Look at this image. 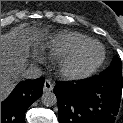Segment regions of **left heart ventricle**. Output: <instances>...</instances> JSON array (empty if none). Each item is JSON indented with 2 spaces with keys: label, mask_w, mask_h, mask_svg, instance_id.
<instances>
[{
  "label": "left heart ventricle",
  "mask_w": 123,
  "mask_h": 123,
  "mask_svg": "<svg viewBox=\"0 0 123 123\" xmlns=\"http://www.w3.org/2000/svg\"><path fill=\"white\" fill-rule=\"evenodd\" d=\"M100 56V48L96 45L90 46L84 54L81 56V58L77 61L76 67L82 68L93 61H95Z\"/></svg>",
  "instance_id": "b2bd125f"
}]
</instances>
